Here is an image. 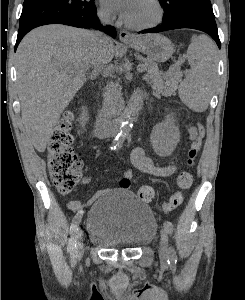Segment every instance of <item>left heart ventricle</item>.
Here are the masks:
<instances>
[{"label": "left heart ventricle", "instance_id": "b2bd125f", "mask_svg": "<svg viewBox=\"0 0 245 300\" xmlns=\"http://www.w3.org/2000/svg\"><path fill=\"white\" fill-rule=\"evenodd\" d=\"M157 11L150 0H133L126 16V20L135 24H146L152 22Z\"/></svg>", "mask_w": 245, "mask_h": 300}]
</instances>
